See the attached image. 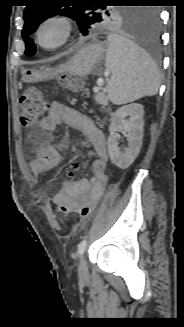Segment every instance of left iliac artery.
<instances>
[{"mask_svg":"<svg viewBox=\"0 0 184 327\" xmlns=\"http://www.w3.org/2000/svg\"><path fill=\"white\" fill-rule=\"evenodd\" d=\"M86 246H87V240L83 239L78 245V254L80 256H82L84 254Z\"/></svg>","mask_w":184,"mask_h":327,"instance_id":"left-iliac-artery-1","label":"left iliac artery"}]
</instances>
